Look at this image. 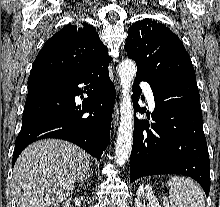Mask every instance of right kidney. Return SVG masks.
I'll use <instances>...</instances> for the list:
<instances>
[{
    "instance_id": "ca27d5eb",
    "label": "right kidney",
    "mask_w": 220,
    "mask_h": 207,
    "mask_svg": "<svg viewBox=\"0 0 220 207\" xmlns=\"http://www.w3.org/2000/svg\"><path fill=\"white\" fill-rule=\"evenodd\" d=\"M63 207H71L69 200H67L66 203L63 204Z\"/></svg>"
}]
</instances>
